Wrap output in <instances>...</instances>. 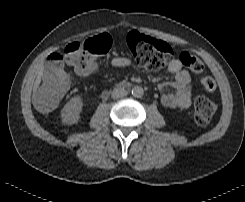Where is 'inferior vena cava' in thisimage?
<instances>
[{"label": "inferior vena cava", "instance_id": "obj_1", "mask_svg": "<svg viewBox=\"0 0 245 202\" xmlns=\"http://www.w3.org/2000/svg\"><path fill=\"white\" fill-rule=\"evenodd\" d=\"M128 94V92L124 89V88H114V90L112 91V98L113 99H119V98H123Z\"/></svg>", "mask_w": 245, "mask_h": 202}]
</instances>
